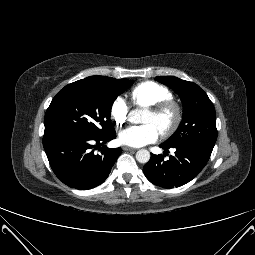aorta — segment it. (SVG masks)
I'll use <instances>...</instances> for the list:
<instances>
[{
  "mask_svg": "<svg viewBox=\"0 0 255 255\" xmlns=\"http://www.w3.org/2000/svg\"><path fill=\"white\" fill-rule=\"evenodd\" d=\"M145 110L139 109L131 112V118L135 123L143 122ZM136 159L139 163H147L150 160V152L146 149H140L136 153Z\"/></svg>",
  "mask_w": 255,
  "mask_h": 255,
  "instance_id": "1",
  "label": "aorta"
}]
</instances>
